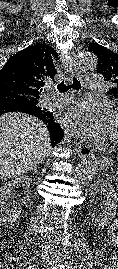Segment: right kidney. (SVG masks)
I'll use <instances>...</instances> for the list:
<instances>
[{
  "label": "right kidney",
  "instance_id": "obj_1",
  "mask_svg": "<svg viewBox=\"0 0 118 269\" xmlns=\"http://www.w3.org/2000/svg\"><path fill=\"white\" fill-rule=\"evenodd\" d=\"M19 184L29 187L31 179L24 176L16 177L14 180L6 182L2 187H0V223H15L21 213L22 204L13 208H10L8 204L14 188H16Z\"/></svg>",
  "mask_w": 118,
  "mask_h": 269
}]
</instances>
